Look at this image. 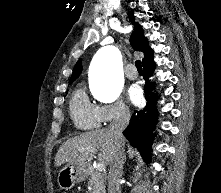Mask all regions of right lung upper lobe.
I'll return each instance as SVG.
<instances>
[{"label":"right lung upper lobe","instance_id":"1","mask_svg":"<svg viewBox=\"0 0 221 193\" xmlns=\"http://www.w3.org/2000/svg\"><path fill=\"white\" fill-rule=\"evenodd\" d=\"M130 43L134 50L144 53V58L142 59L143 65L153 63V51L150 49L146 38L143 36L142 27L138 23H136L134 32L130 37ZM81 71L82 64L80 59L74 66L70 82H73L80 75Z\"/></svg>","mask_w":221,"mask_h":193}]
</instances>
